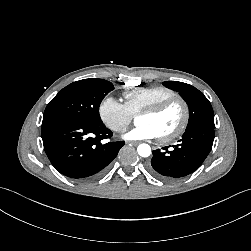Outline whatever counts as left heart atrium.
Listing matches in <instances>:
<instances>
[{"instance_id": "obj_1", "label": "left heart atrium", "mask_w": 251, "mask_h": 251, "mask_svg": "<svg viewBox=\"0 0 251 251\" xmlns=\"http://www.w3.org/2000/svg\"><path fill=\"white\" fill-rule=\"evenodd\" d=\"M157 137H159L157 131L148 124H138L124 134L127 140H149Z\"/></svg>"}]
</instances>
